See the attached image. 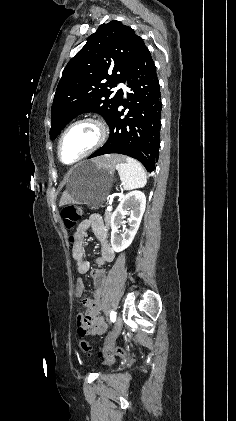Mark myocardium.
<instances>
[{
	"instance_id": "f54148a6",
	"label": "myocardium",
	"mask_w": 236,
	"mask_h": 421,
	"mask_svg": "<svg viewBox=\"0 0 236 421\" xmlns=\"http://www.w3.org/2000/svg\"><path fill=\"white\" fill-rule=\"evenodd\" d=\"M86 124L92 125L97 129L98 138H97L96 142L83 155H81L78 159H76L73 163H71V164L65 163L61 158V149H62V143H63L64 138L66 137V135L72 129H74L78 126H81V125H86ZM107 138H108V128L102 120L96 119V118H91V117L77 120V121L73 122L72 124H70L65 129V131L62 133V135L59 139L58 148H57L58 158L61 161V163L65 164V165H73V164L81 161L82 159L90 156L91 154L96 152L98 149H100L105 144V142L107 141Z\"/></svg>"
}]
</instances>
